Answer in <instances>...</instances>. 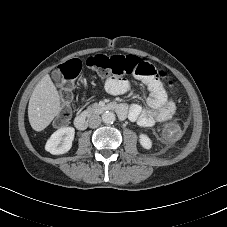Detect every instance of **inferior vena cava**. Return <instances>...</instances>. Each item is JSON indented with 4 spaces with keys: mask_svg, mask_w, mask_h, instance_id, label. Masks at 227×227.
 <instances>
[{
    "mask_svg": "<svg viewBox=\"0 0 227 227\" xmlns=\"http://www.w3.org/2000/svg\"><path fill=\"white\" fill-rule=\"evenodd\" d=\"M90 128H97L101 124V117L99 115H92L88 119Z\"/></svg>",
    "mask_w": 227,
    "mask_h": 227,
    "instance_id": "1",
    "label": "inferior vena cava"
}]
</instances>
